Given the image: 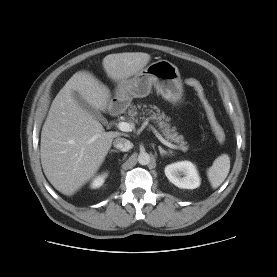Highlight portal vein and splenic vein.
Listing matches in <instances>:
<instances>
[{"mask_svg":"<svg viewBox=\"0 0 277 277\" xmlns=\"http://www.w3.org/2000/svg\"><path fill=\"white\" fill-rule=\"evenodd\" d=\"M145 125H148V123L146 122ZM149 127L162 144H164L167 147L172 148V149H178V147L176 145L165 140L162 137V135L152 125H149ZM118 128H119V130H121L123 132H130V131H132L133 125L128 122H119Z\"/></svg>","mask_w":277,"mask_h":277,"instance_id":"portal-vein-and-splenic-vein-1","label":"portal vein and splenic vein"}]
</instances>
